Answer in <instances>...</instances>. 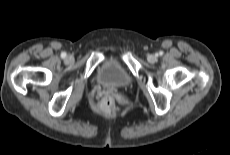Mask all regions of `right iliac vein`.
I'll use <instances>...</instances> for the list:
<instances>
[{
    "instance_id": "63e3f726",
    "label": "right iliac vein",
    "mask_w": 230,
    "mask_h": 155,
    "mask_svg": "<svg viewBox=\"0 0 230 155\" xmlns=\"http://www.w3.org/2000/svg\"><path fill=\"white\" fill-rule=\"evenodd\" d=\"M73 61V57L71 55H69L67 58H66V62L70 63Z\"/></svg>"
}]
</instances>
